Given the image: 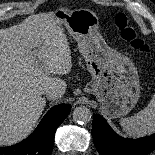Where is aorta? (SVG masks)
Returning a JSON list of instances; mask_svg holds the SVG:
<instances>
[{
    "label": "aorta",
    "instance_id": "aorta-1",
    "mask_svg": "<svg viewBox=\"0 0 155 155\" xmlns=\"http://www.w3.org/2000/svg\"><path fill=\"white\" fill-rule=\"evenodd\" d=\"M91 118L92 114L85 106L76 107L73 111V120L77 123H88Z\"/></svg>",
    "mask_w": 155,
    "mask_h": 155
}]
</instances>
